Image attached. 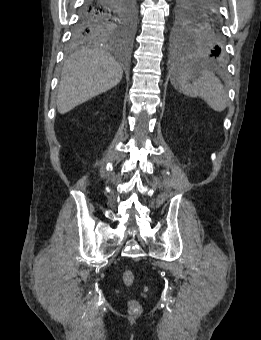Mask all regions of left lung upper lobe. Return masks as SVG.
Listing matches in <instances>:
<instances>
[{"label":"left lung upper lobe","mask_w":261,"mask_h":340,"mask_svg":"<svg viewBox=\"0 0 261 340\" xmlns=\"http://www.w3.org/2000/svg\"><path fill=\"white\" fill-rule=\"evenodd\" d=\"M203 0H177L172 40L176 47L195 49L223 59L226 54L221 14L217 7L207 13Z\"/></svg>","instance_id":"obj_1"}]
</instances>
